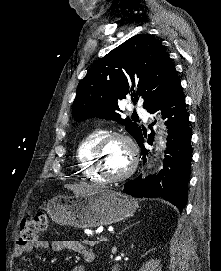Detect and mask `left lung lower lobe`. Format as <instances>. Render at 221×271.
<instances>
[{"mask_svg":"<svg viewBox=\"0 0 221 271\" xmlns=\"http://www.w3.org/2000/svg\"><path fill=\"white\" fill-rule=\"evenodd\" d=\"M162 110V117L167 121L168 128L167 149L163 168L155 175L142 179V175L127 182L124 192L134 197H161L177 206L180 210L184 208L188 196V180L192 158L190 146L191 130L189 128V115L186 110L185 97L182 92L181 83H178L166 98L150 113ZM152 124H155L153 122ZM145 132L135 139L141 147L143 158L147 155L145 149ZM153 141V134L148 137V143Z\"/></svg>","mask_w":221,"mask_h":271,"instance_id":"0a47b994","label":"left lung lower lobe"}]
</instances>
